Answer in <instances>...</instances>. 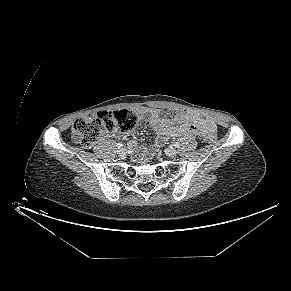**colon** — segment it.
<instances>
[{
    "mask_svg": "<svg viewBox=\"0 0 291 291\" xmlns=\"http://www.w3.org/2000/svg\"><path fill=\"white\" fill-rule=\"evenodd\" d=\"M138 121L137 113L127 109L85 114L74 122L72 135L83 147L90 148L109 132L131 131L136 127ZM203 138L208 142H214L217 138L215 128L205 132Z\"/></svg>",
    "mask_w": 291,
    "mask_h": 291,
    "instance_id": "5ec220e1",
    "label": "colon"
}]
</instances>
